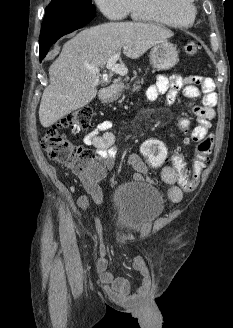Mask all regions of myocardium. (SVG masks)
Listing matches in <instances>:
<instances>
[{
	"mask_svg": "<svg viewBox=\"0 0 233 328\" xmlns=\"http://www.w3.org/2000/svg\"><path fill=\"white\" fill-rule=\"evenodd\" d=\"M191 2H190V5H189V7H190V9L193 11V13L195 14V5L193 4V1L194 0H190Z\"/></svg>",
	"mask_w": 233,
	"mask_h": 328,
	"instance_id": "obj_1",
	"label": "myocardium"
}]
</instances>
